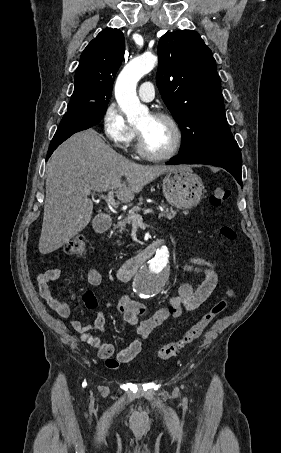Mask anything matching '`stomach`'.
<instances>
[{"label": "stomach", "instance_id": "1", "mask_svg": "<svg viewBox=\"0 0 281 453\" xmlns=\"http://www.w3.org/2000/svg\"><path fill=\"white\" fill-rule=\"evenodd\" d=\"M162 188L166 200L177 208L197 206L204 194V184L190 166L167 172Z\"/></svg>", "mask_w": 281, "mask_h": 453}]
</instances>
